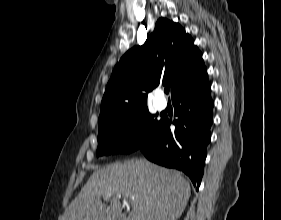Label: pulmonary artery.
Returning a JSON list of instances; mask_svg holds the SVG:
<instances>
[{"label": "pulmonary artery", "mask_w": 281, "mask_h": 220, "mask_svg": "<svg viewBox=\"0 0 281 220\" xmlns=\"http://www.w3.org/2000/svg\"><path fill=\"white\" fill-rule=\"evenodd\" d=\"M154 105L159 109L163 110L167 106V101L164 98L163 92L161 90L157 91L154 98Z\"/></svg>", "instance_id": "e3ab8cb5"}]
</instances>
